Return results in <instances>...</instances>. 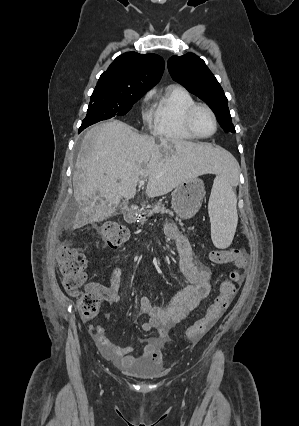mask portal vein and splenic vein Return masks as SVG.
Here are the masks:
<instances>
[{"label": "portal vein and splenic vein", "instance_id": "1", "mask_svg": "<svg viewBox=\"0 0 299 426\" xmlns=\"http://www.w3.org/2000/svg\"><path fill=\"white\" fill-rule=\"evenodd\" d=\"M144 184H145V181H144V180H140V181H139V185H140V186H143Z\"/></svg>", "mask_w": 299, "mask_h": 426}]
</instances>
